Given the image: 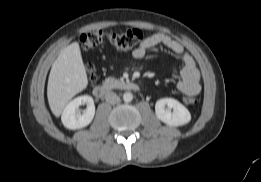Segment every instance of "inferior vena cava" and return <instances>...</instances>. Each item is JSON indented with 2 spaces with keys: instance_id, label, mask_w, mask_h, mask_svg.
<instances>
[{
  "instance_id": "inferior-vena-cava-1",
  "label": "inferior vena cava",
  "mask_w": 261,
  "mask_h": 182,
  "mask_svg": "<svg viewBox=\"0 0 261 182\" xmlns=\"http://www.w3.org/2000/svg\"><path fill=\"white\" fill-rule=\"evenodd\" d=\"M105 100L110 104H116L120 101V98L116 93L108 92L105 95Z\"/></svg>"
}]
</instances>
